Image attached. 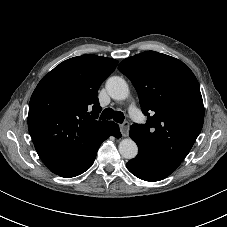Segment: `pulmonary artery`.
Returning a JSON list of instances; mask_svg holds the SVG:
<instances>
[{"label":"pulmonary artery","instance_id":"obj_1","mask_svg":"<svg viewBox=\"0 0 227 227\" xmlns=\"http://www.w3.org/2000/svg\"><path fill=\"white\" fill-rule=\"evenodd\" d=\"M135 112H136L135 107H134V106H131V107H130V114H131L132 116H135Z\"/></svg>","mask_w":227,"mask_h":227}]
</instances>
